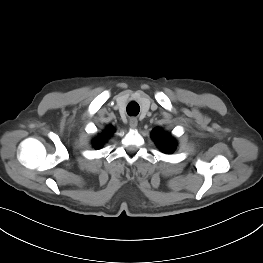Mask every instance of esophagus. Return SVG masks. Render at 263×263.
I'll return each instance as SVG.
<instances>
[{
    "label": "esophagus",
    "instance_id": "obj_1",
    "mask_svg": "<svg viewBox=\"0 0 263 263\" xmlns=\"http://www.w3.org/2000/svg\"><path fill=\"white\" fill-rule=\"evenodd\" d=\"M129 125H130V127L133 128V129L136 128L137 125H138V120H137V118L131 117L130 120H129Z\"/></svg>",
    "mask_w": 263,
    "mask_h": 263
}]
</instances>
